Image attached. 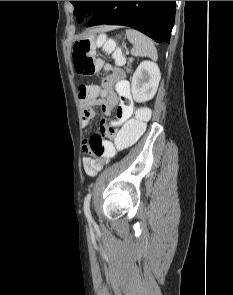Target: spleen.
I'll use <instances>...</instances> for the list:
<instances>
[{"label": "spleen", "instance_id": "spleen-1", "mask_svg": "<svg viewBox=\"0 0 233 295\" xmlns=\"http://www.w3.org/2000/svg\"><path fill=\"white\" fill-rule=\"evenodd\" d=\"M126 35L129 42L133 44V49L131 50L132 55L142 57L148 56L153 60L157 59L156 47L149 37L135 29H127ZM98 44L103 45V50L108 53L114 51L113 58L117 63L120 62L121 50L120 48L116 49V43L112 39L106 40L104 35H100L98 37Z\"/></svg>", "mask_w": 233, "mask_h": 295}]
</instances>
